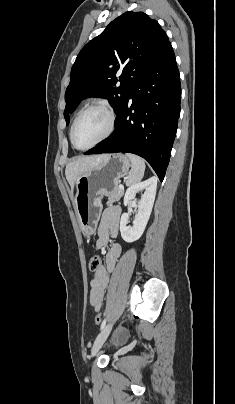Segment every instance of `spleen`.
<instances>
[{"label":"spleen","mask_w":235,"mask_h":404,"mask_svg":"<svg viewBox=\"0 0 235 404\" xmlns=\"http://www.w3.org/2000/svg\"><path fill=\"white\" fill-rule=\"evenodd\" d=\"M126 156L131 161V170L126 182L127 185L130 186L140 182L143 178L145 172V162L141 157L135 154L127 153Z\"/></svg>","instance_id":"obj_1"}]
</instances>
